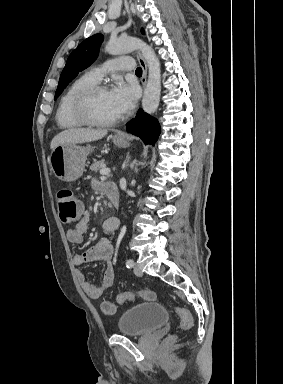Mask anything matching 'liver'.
Wrapping results in <instances>:
<instances>
[{
	"label": "liver",
	"instance_id": "6515ba94",
	"mask_svg": "<svg viewBox=\"0 0 283 384\" xmlns=\"http://www.w3.org/2000/svg\"><path fill=\"white\" fill-rule=\"evenodd\" d=\"M107 130H91V128H69L57 134L53 138L50 148L54 150L63 144H84V142H95L106 136Z\"/></svg>",
	"mask_w": 283,
	"mask_h": 384
}]
</instances>
